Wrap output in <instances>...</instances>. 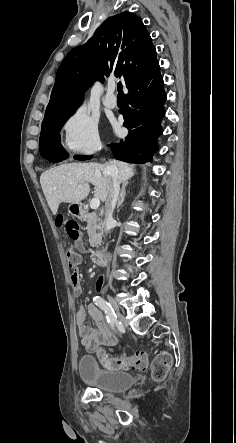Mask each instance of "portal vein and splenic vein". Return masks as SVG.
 <instances>
[{"mask_svg":"<svg viewBox=\"0 0 236 443\" xmlns=\"http://www.w3.org/2000/svg\"><path fill=\"white\" fill-rule=\"evenodd\" d=\"M78 187L81 188L82 186L79 185ZM99 206H100V200L98 198H93L90 202V208L92 210H96L99 208Z\"/></svg>","mask_w":236,"mask_h":443,"instance_id":"18ae733b","label":"portal vein and splenic vein"}]
</instances>
